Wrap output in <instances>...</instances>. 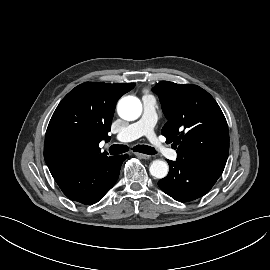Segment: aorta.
Instances as JSON below:
<instances>
[{
  "label": "aorta",
  "instance_id": "1",
  "mask_svg": "<svg viewBox=\"0 0 270 270\" xmlns=\"http://www.w3.org/2000/svg\"><path fill=\"white\" fill-rule=\"evenodd\" d=\"M119 116L127 121H134L138 119L142 113L141 101L134 96H126L120 99L117 105ZM168 164L162 160H154L149 168L150 174L157 178L162 179L168 174Z\"/></svg>",
  "mask_w": 270,
  "mask_h": 270
}]
</instances>
